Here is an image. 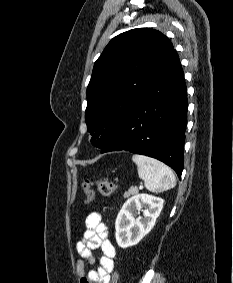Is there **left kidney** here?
<instances>
[{
	"instance_id": "obj_1",
	"label": "left kidney",
	"mask_w": 233,
	"mask_h": 283,
	"mask_svg": "<svg viewBox=\"0 0 233 283\" xmlns=\"http://www.w3.org/2000/svg\"><path fill=\"white\" fill-rule=\"evenodd\" d=\"M164 200L148 194L129 198L122 206L116 222V241L119 247L134 246L154 227L163 208ZM143 208H145L143 210ZM143 211V217L135 216Z\"/></svg>"
}]
</instances>
